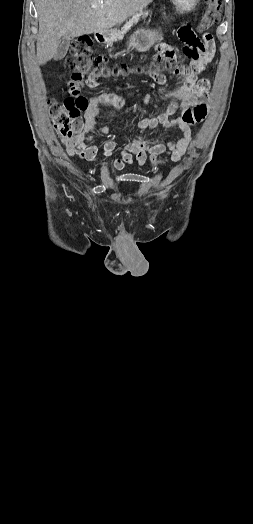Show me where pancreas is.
<instances>
[{
	"mask_svg": "<svg viewBox=\"0 0 253 524\" xmlns=\"http://www.w3.org/2000/svg\"><path fill=\"white\" fill-rule=\"evenodd\" d=\"M148 16V11H140L139 13H136L130 18L124 25L121 27V29H115L111 30L110 32V41L111 43L114 41H117L118 39H122L123 35L127 33L131 27L139 22V20L145 19Z\"/></svg>",
	"mask_w": 253,
	"mask_h": 524,
	"instance_id": "cf45deb5",
	"label": "pancreas"
}]
</instances>
